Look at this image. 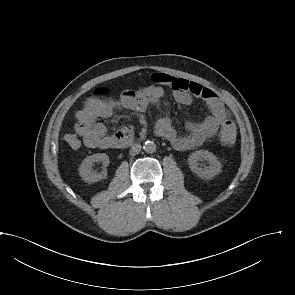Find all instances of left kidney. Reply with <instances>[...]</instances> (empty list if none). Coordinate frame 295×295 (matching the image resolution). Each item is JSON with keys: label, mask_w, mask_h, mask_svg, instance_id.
<instances>
[{"label": "left kidney", "mask_w": 295, "mask_h": 295, "mask_svg": "<svg viewBox=\"0 0 295 295\" xmlns=\"http://www.w3.org/2000/svg\"><path fill=\"white\" fill-rule=\"evenodd\" d=\"M199 161H207L209 166L199 167ZM188 165L198 177L211 179L221 172V163L217 157L208 150H199L192 153L188 158Z\"/></svg>", "instance_id": "obj_1"}]
</instances>
